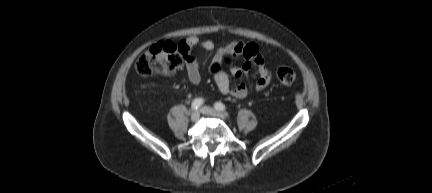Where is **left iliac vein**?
Returning a JSON list of instances; mask_svg holds the SVG:
<instances>
[{"mask_svg":"<svg viewBox=\"0 0 432 193\" xmlns=\"http://www.w3.org/2000/svg\"><path fill=\"white\" fill-rule=\"evenodd\" d=\"M201 113L205 114V115H209V116H214V117H218L221 119H227L228 115L226 113L220 112L216 109H213L211 107L208 106H204L201 108Z\"/></svg>","mask_w":432,"mask_h":193,"instance_id":"1","label":"left iliac vein"}]
</instances>
